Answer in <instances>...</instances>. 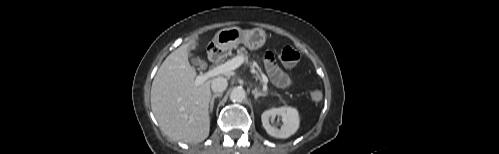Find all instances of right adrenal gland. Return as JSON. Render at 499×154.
Instances as JSON below:
<instances>
[{"label": "right adrenal gland", "instance_id": "2a0ac1e0", "mask_svg": "<svg viewBox=\"0 0 499 154\" xmlns=\"http://www.w3.org/2000/svg\"><path fill=\"white\" fill-rule=\"evenodd\" d=\"M221 96H222V93H216V94L212 95V98H211V101H210V106H209L210 112L213 111V106H214V100H215V98L221 97Z\"/></svg>", "mask_w": 499, "mask_h": 154}]
</instances>
